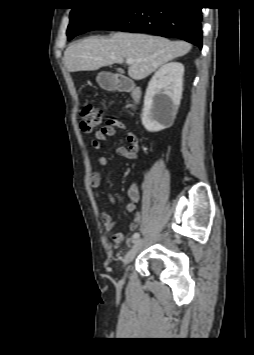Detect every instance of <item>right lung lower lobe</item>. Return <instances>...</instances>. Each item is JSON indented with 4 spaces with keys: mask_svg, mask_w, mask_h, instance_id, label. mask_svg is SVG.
<instances>
[{
    "mask_svg": "<svg viewBox=\"0 0 254 355\" xmlns=\"http://www.w3.org/2000/svg\"><path fill=\"white\" fill-rule=\"evenodd\" d=\"M201 21L196 0H133L99 29L180 38L201 48Z\"/></svg>",
    "mask_w": 254,
    "mask_h": 355,
    "instance_id": "98d812e1",
    "label": "right lung lower lobe"
}]
</instances>
